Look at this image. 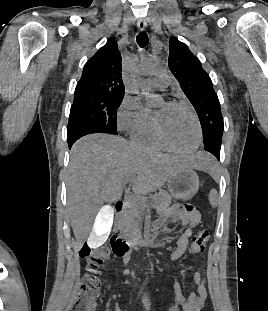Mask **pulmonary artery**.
Wrapping results in <instances>:
<instances>
[{
	"mask_svg": "<svg viewBox=\"0 0 268 311\" xmlns=\"http://www.w3.org/2000/svg\"><path fill=\"white\" fill-rule=\"evenodd\" d=\"M170 81V76L164 71H155L153 77L147 80V83L156 89L165 88Z\"/></svg>",
	"mask_w": 268,
	"mask_h": 311,
	"instance_id": "pulmonary-artery-1",
	"label": "pulmonary artery"
}]
</instances>
